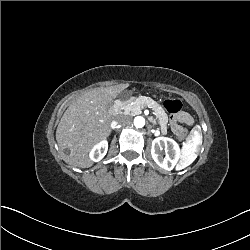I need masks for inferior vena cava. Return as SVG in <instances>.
I'll list each match as a JSON object with an SVG mask.
<instances>
[{
  "label": "inferior vena cava",
  "instance_id": "inferior-vena-cava-1",
  "mask_svg": "<svg viewBox=\"0 0 250 250\" xmlns=\"http://www.w3.org/2000/svg\"><path fill=\"white\" fill-rule=\"evenodd\" d=\"M117 121L123 126L130 125L132 123V117L130 115H119L117 116Z\"/></svg>",
  "mask_w": 250,
  "mask_h": 250
}]
</instances>
